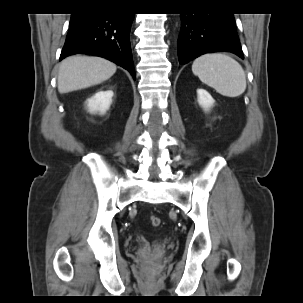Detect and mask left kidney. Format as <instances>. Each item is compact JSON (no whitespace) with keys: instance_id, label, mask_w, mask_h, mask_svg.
I'll use <instances>...</instances> for the list:
<instances>
[{"instance_id":"1","label":"left kidney","mask_w":303,"mask_h":303,"mask_svg":"<svg viewBox=\"0 0 303 303\" xmlns=\"http://www.w3.org/2000/svg\"><path fill=\"white\" fill-rule=\"evenodd\" d=\"M197 95L199 105L202 106L205 110H209L213 106L215 101L206 90L198 89Z\"/></svg>"}]
</instances>
